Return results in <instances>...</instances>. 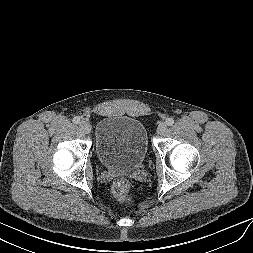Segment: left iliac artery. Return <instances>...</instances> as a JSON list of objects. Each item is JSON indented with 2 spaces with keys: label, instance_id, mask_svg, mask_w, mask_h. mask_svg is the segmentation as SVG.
I'll use <instances>...</instances> for the list:
<instances>
[{
  "label": "left iliac artery",
  "instance_id": "obj_1",
  "mask_svg": "<svg viewBox=\"0 0 253 253\" xmlns=\"http://www.w3.org/2000/svg\"><path fill=\"white\" fill-rule=\"evenodd\" d=\"M166 124L169 125V126L173 125L174 124V119L173 118H168L166 120Z\"/></svg>",
  "mask_w": 253,
  "mask_h": 253
}]
</instances>
